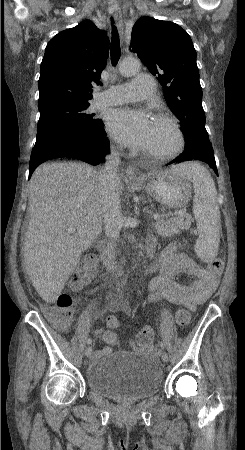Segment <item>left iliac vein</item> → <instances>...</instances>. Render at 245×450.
I'll return each instance as SVG.
<instances>
[{
  "label": "left iliac vein",
  "instance_id": "left-iliac-vein-1",
  "mask_svg": "<svg viewBox=\"0 0 245 450\" xmlns=\"http://www.w3.org/2000/svg\"><path fill=\"white\" fill-rule=\"evenodd\" d=\"M161 358L164 362H167L169 359L168 354L166 352L161 353Z\"/></svg>",
  "mask_w": 245,
  "mask_h": 450
}]
</instances>
